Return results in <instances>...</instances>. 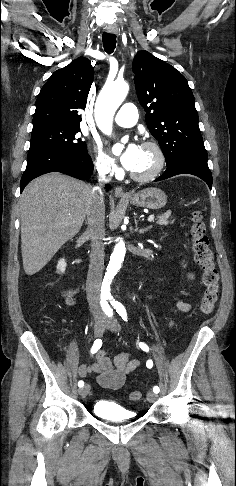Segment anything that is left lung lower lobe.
Instances as JSON below:
<instances>
[{
  "label": "left lung lower lobe",
  "mask_w": 236,
  "mask_h": 486,
  "mask_svg": "<svg viewBox=\"0 0 236 486\" xmlns=\"http://www.w3.org/2000/svg\"><path fill=\"white\" fill-rule=\"evenodd\" d=\"M178 174H192L203 179L211 189L212 187V174L205 162L198 161H178L167 166L166 171L158 177L155 181L164 180Z\"/></svg>",
  "instance_id": "obj_1"
}]
</instances>
